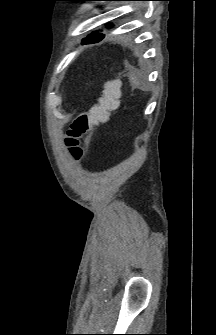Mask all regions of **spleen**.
Masks as SVG:
<instances>
[{"label": "spleen", "mask_w": 216, "mask_h": 335, "mask_svg": "<svg viewBox=\"0 0 216 335\" xmlns=\"http://www.w3.org/2000/svg\"><path fill=\"white\" fill-rule=\"evenodd\" d=\"M130 83L133 87L139 88L142 86V81L139 73L134 68H131L129 72Z\"/></svg>", "instance_id": "1"}]
</instances>
